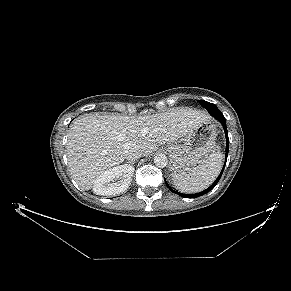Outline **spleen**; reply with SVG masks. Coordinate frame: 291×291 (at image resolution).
Here are the masks:
<instances>
[{"mask_svg":"<svg viewBox=\"0 0 291 291\" xmlns=\"http://www.w3.org/2000/svg\"><path fill=\"white\" fill-rule=\"evenodd\" d=\"M223 154L213 151L191 172L186 174H172V181L176 189L185 193H197L208 188L219 175L223 165Z\"/></svg>","mask_w":291,"mask_h":291,"instance_id":"3e777b00","label":"spleen"}]
</instances>
